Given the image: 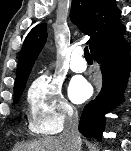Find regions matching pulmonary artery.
<instances>
[{"label": "pulmonary artery", "instance_id": "pulmonary-artery-1", "mask_svg": "<svg viewBox=\"0 0 131 151\" xmlns=\"http://www.w3.org/2000/svg\"><path fill=\"white\" fill-rule=\"evenodd\" d=\"M82 50L80 48H77L73 51L71 60H70V69L73 72L81 73L86 70L87 64L85 60L82 57Z\"/></svg>", "mask_w": 131, "mask_h": 151}]
</instances>
